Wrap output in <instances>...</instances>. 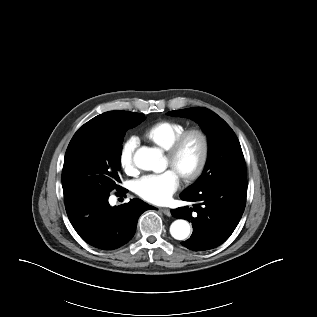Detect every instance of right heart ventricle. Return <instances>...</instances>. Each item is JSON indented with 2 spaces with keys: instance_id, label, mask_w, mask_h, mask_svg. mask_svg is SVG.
<instances>
[{
  "instance_id": "e07e8e85",
  "label": "right heart ventricle",
  "mask_w": 317,
  "mask_h": 317,
  "mask_svg": "<svg viewBox=\"0 0 317 317\" xmlns=\"http://www.w3.org/2000/svg\"><path fill=\"white\" fill-rule=\"evenodd\" d=\"M185 130H187V128L184 124L165 120L157 122L147 128L144 132V136L158 147L168 150Z\"/></svg>"
}]
</instances>
